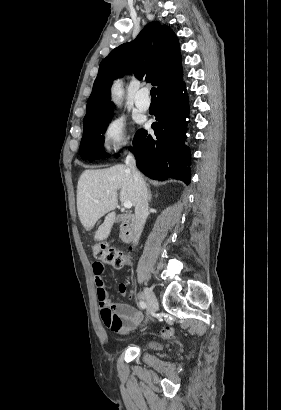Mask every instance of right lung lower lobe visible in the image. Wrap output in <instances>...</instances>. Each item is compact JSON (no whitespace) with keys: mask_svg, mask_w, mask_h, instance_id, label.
I'll use <instances>...</instances> for the list:
<instances>
[{"mask_svg":"<svg viewBox=\"0 0 281 410\" xmlns=\"http://www.w3.org/2000/svg\"><path fill=\"white\" fill-rule=\"evenodd\" d=\"M183 82L157 95L154 135L138 130L132 150L136 165L146 176L164 180L167 177L190 182V151L185 146L189 106Z\"/></svg>","mask_w":281,"mask_h":410,"instance_id":"right-lung-lower-lobe-1","label":"right lung lower lobe"}]
</instances>
